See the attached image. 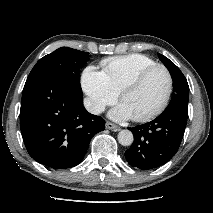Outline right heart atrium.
Here are the masks:
<instances>
[{
    "instance_id": "obj_1",
    "label": "right heart atrium",
    "mask_w": 213,
    "mask_h": 213,
    "mask_svg": "<svg viewBox=\"0 0 213 213\" xmlns=\"http://www.w3.org/2000/svg\"><path fill=\"white\" fill-rule=\"evenodd\" d=\"M81 86L87 97V107L94 114L102 112L106 106L112 105L117 99V94L111 89L103 72L94 66L84 69Z\"/></svg>"
}]
</instances>
